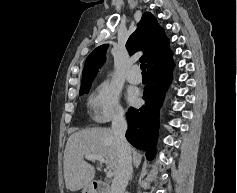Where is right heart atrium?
Here are the masks:
<instances>
[{
  "instance_id": "right-heart-atrium-1",
  "label": "right heart atrium",
  "mask_w": 237,
  "mask_h": 193,
  "mask_svg": "<svg viewBox=\"0 0 237 193\" xmlns=\"http://www.w3.org/2000/svg\"><path fill=\"white\" fill-rule=\"evenodd\" d=\"M89 108L98 122H108L124 118V109L120 104V93L110 83L100 84L89 98Z\"/></svg>"
}]
</instances>
